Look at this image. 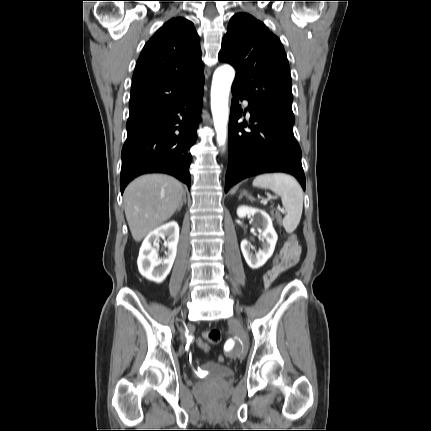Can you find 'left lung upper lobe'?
Masks as SVG:
<instances>
[{"mask_svg": "<svg viewBox=\"0 0 431 431\" xmlns=\"http://www.w3.org/2000/svg\"><path fill=\"white\" fill-rule=\"evenodd\" d=\"M219 60L236 69L232 88L249 102L294 117L289 63L280 40L249 14L234 15L222 41Z\"/></svg>", "mask_w": 431, "mask_h": 431, "instance_id": "1", "label": "left lung upper lobe"}]
</instances>
